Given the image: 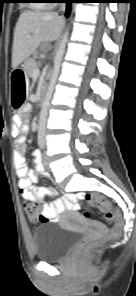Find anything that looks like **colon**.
Instances as JSON below:
<instances>
[{
    "label": "colon",
    "instance_id": "obj_1",
    "mask_svg": "<svg viewBox=\"0 0 136 296\" xmlns=\"http://www.w3.org/2000/svg\"><path fill=\"white\" fill-rule=\"evenodd\" d=\"M84 199L92 206L97 207L100 211L104 213L105 222L109 225H113L115 228H120L122 226V216L120 212L114 209L110 202L104 197L98 195H86ZM25 211L32 216L37 215L38 205L33 202H27L24 204ZM85 216H89L88 212L84 213ZM39 220L45 222L46 220L39 216ZM99 243L98 239L93 237H86L81 247L79 248L80 254L90 253Z\"/></svg>",
    "mask_w": 136,
    "mask_h": 296
}]
</instances>
